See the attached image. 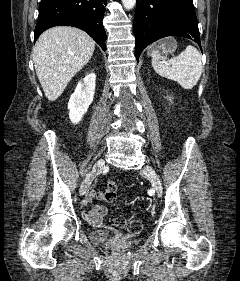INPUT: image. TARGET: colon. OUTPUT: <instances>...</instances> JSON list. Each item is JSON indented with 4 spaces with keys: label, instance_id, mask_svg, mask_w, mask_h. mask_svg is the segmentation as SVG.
Wrapping results in <instances>:
<instances>
[{
    "label": "colon",
    "instance_id": "obj_1",
    "mask_svg": "<svg viewBox=\"0 0 240 281\" xmlns=\"http://www.w3.org/2000/svg\"><path fill=\"white\" fill-rule=\"evenodd\" d=\"M116 198L117 184L111 180L108 182L103 192V200L108 204H112L115 202ZM114 223L132 234H137L142 230V224L138 220H127L123 217H117L114 219Z\"/></svg>",
    "mask_w": 240,
    "mask_h": 281
}]
</instances>
